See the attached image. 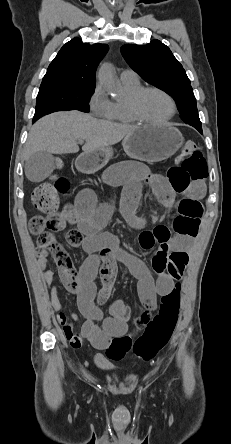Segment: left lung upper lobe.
Listing matches in <instances>:
<instances>
[{
    "label": "left lung upper lobe",
    "mask_w": 231,
    "mask_h": 444,
    "mask_svg": "<svg viewBox=\"0 0 231 444\" xmlns=\"http://www.w3.org/2000/svg\"><path fill=\"white\" fill-rule=\"evenodd\" d=\"M121 51L130 67L145 81L174 98L186 123L198 131L202 129L190 80L165 44L159 40L146 45L126 44Z\"/></svg>",
    "instance_id": "obj_1"
}]
</instances>
